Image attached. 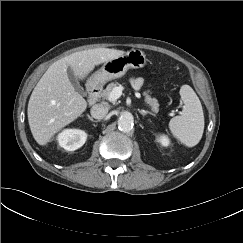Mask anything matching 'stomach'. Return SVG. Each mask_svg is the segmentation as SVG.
<instances>
[{"label": "stomach", "instance_id": "obj_1", "mask_svg": "<svg viewBox=\"0 0 243 243\" xmlns=\"http://www.w3.org/2000/svg\"><path fill=\"white\" fill-rule=\"evenodd\" d=\"M147 64L145 53L140 49H132L124 55L106 61L90 78L95 85L122 77L130 68H142Z\"/></svg>", "mask_w": 243, "mask_h": 243}]
</instances>
